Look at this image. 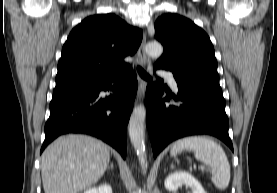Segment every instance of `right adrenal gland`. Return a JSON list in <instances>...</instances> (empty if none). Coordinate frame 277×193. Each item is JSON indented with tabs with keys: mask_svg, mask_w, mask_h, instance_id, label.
I'll list each match as a JSON object with an SVG mask.
<instances>
[{
	"mask_svg": "<svg viewBox=\"0 0 277 193\" xmlns=\"http://www.w3.org/2000/svg\"><path fill=\"white\" fill-rule=\"evenodd\" d=\"M108 169H113V163H110V166L108 167Z\"/></svg>",
	"mask_w": 277,
	"mask_h": 193,
	"instance_id": "right-adrenal-gland-1",
	"label": "right adrenal gland"
}]
</instances>
